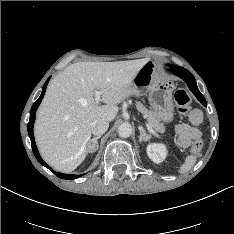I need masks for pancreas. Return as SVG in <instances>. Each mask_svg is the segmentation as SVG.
Here are the masks:
<instances>
[{"label": "pancreas", "instance_id": "pancreas-1", "mask_svg": "<svg viewBox=\"0 0 234 234\" xmlns=\"http://www.w3.org/2000/svg\"><path fill=\"white\" fill-rule=\"evenodd\" d=\"M136 108L140 111L144 118L147 119L148 124L156 131L163 133L165 131V126L161 122L159 116L156 112L148 110L141 102H136Z\"/></svg>", "mask_w": 234, "mask_h": 234}]
</instances>
